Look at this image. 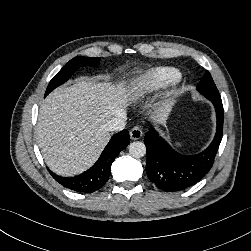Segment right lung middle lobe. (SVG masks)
Returning <instances> with one entry per match:
<instances>
[{"label": "right lung middle lobe", "instance_id": "1", "mask_svg": "<svg viewBox=\"0 0 251 251\" xmlns=\"http://www.w3.org/2000/svg\"><path fill=\"white\" fill-rule=\"evenodd\" d=\"M99 60V58H89L83 56L74 57L50 81L45 96H47L57 86L66 82L79 67L96 66Z\"/></svg>", "mask_w": 251, "mask_h": 251}]
</instances>
